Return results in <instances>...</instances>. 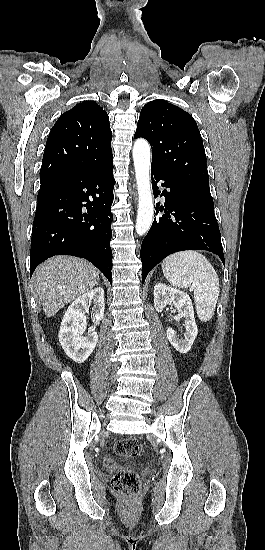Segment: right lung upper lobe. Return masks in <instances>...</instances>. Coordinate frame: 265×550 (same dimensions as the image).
Masks as SVG:
<instances>
[{
  "instance_id": "right-lung-upper-lobe-1",
  "label": "right lung upper lobe",
  "mask_w": 265,
  "mask_h": 550,
  "mask_svg": "<svg viewBox=\"0 0 265 550\" xmlns=\"http://www.w3.org/2000/svg\"><path fill=\"white\" fill-rule=\"evenodd\" d=\"M109 117L96 102L65 112L50 131L40 170L44 185L55 178L101 167L112 160Z\"/></svg>"
}]
</instances>
